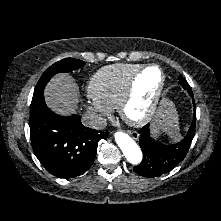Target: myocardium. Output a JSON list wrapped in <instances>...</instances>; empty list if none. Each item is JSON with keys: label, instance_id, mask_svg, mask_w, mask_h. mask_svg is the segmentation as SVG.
Here are the masks:
<instances>
[{"label": "myocardium", "instance_id": "obj_1", "mask_svg": "<svg viewBox=\"0 0 221 221\" xmlns=\"http://www.w3.org/2000/svg\"><path fill=\"white\" fill-rule=\"evenodd\" d=\"M151 68H156L160 73L159 86H158L154 96L152 97V100H151L147 110L143 114H141L140 116L134 117L129 114L128 110H129L130 105L135 100L136 82H137L138 78L144 72H146L148 69H151ZM165 84H166V77H165L163 69L159 65L147 64V65L141 66L136 72H134V74L129 79L125 93H124V95L118 105V111H119V114L122 117V119L125 122H127L128 124L135 126V127H140V126H143V125L147 124L148 122H150L158 109V106H159V103H160V100L162 98L163 91L165 88Z\"/></svg>", "mask_w": 221, "mask_h": 221}]
</instances>
